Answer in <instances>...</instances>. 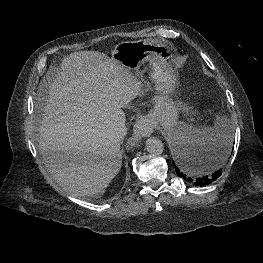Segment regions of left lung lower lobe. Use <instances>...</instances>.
Listing matches in <instances>:
<instances>
[{"instance_id": "0a47b994", "label": "left lung lower lobe", "mask_w": 263, "mask_h": 263, "mask_svg": "<svg viewBox=\"0 0 263 263\" xmlns=\"http://www.w3.org/2000/svg\"><path fill=\"white\" fill-rule=\"evenodd\" d=\"M176 155V164L173 162L176 174L190 185L197 187L207 186L217 180L222 174L221 169H203V160L208 155L203 150L196 153L177 150ZM213 155H215V151Z\"/></svg>"}]
</instances>
